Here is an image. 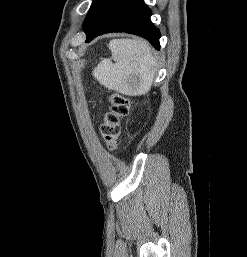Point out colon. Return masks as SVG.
<instances>
[{
	"label": "colon",
	"instance_id": "colon-1",
	"mask_svg": "<svg viewBox=\"0 0 247 257\" xmlns=\"http://www.w3.org/2000/svg\"><path fill=\"white\" fill-rule=\"evenodd\" d=\"M110 109L106 113L100 131L110 151L118 147L121 132V121L129 113V99L121 93H113L109 97Z\"/></svg>",
	"mask_w": 247,
	"mask_h": 257
}]
</instances>
